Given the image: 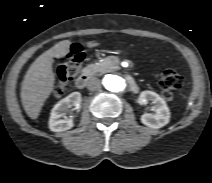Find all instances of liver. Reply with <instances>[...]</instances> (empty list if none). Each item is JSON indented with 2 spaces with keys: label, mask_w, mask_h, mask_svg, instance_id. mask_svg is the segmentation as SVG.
<instances>
[{
  "label": "liver",
  "mask_w": 212,
  "mask_h": 183,
  "mask_svg": "<svg viewBox=\"0 0 212 183\" xmlns=\"http://www.w3.org/2000/svg\"><path fill=\"white\" fill-rule=\"evenodd\" d=\"M69 40L60 41L41 54L29 67L21 86V101L26 114L31 119L38 118L42 106L54 89L55 74L52 59L64 57L70 50ZM89 42L87 47L98 46Z\"/></svg>",
  "instance_id": "6515ba94"
}]
</instances>
